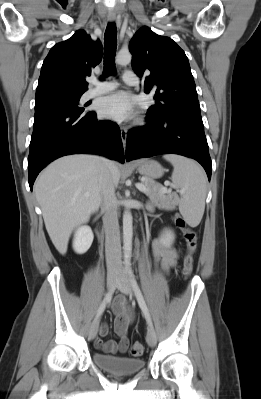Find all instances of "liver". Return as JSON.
Wrapping results in <instances>:
<instances>
[{
    "label": "liver",
    "instance_id": "liver-1",
    "mask_svg": "<svg viewBox=\"0 0 261 399\" xmlns=\"http://www.w3.org/2000/svg\"><path fill=\"white\" fill-rule=\"evenodd\" d=\"M114 186L120 170L114 161L106 163L96 155H69L57 159L38 177L34 192L41 207L46 230L58 252H67L72 230L101 204V182L105 170Z\"/></svg>",
    "mask_w": 261,
    "mask_h": 399
}]
</instances>
